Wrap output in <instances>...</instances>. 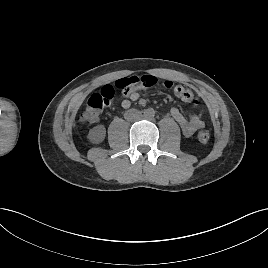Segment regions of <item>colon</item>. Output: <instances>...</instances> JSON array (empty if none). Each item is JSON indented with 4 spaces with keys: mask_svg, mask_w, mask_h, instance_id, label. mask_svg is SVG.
Listing matches in <instances>:
<instances>
[{
    "mask_svg": "<svg viewBox=\"0 0 268 268\" xmlns=\"http://www.w3.org/2000/svg\"><path fill=\"white\" fill-rule=\"evenodd\" d=\"M157 82L158 79L155 76L142 75L121 78L117 80L114 85H105L99 92L94 93L89 97L87 104L80 115L81 120L87 123H94L98 121L104 108L109 106L111 101L114 99L116 89L120 90L124 94H128L134 90L152 88L157 84ZM164 87L185 102L191 104L198 103L192 90L188 87L174 84L169 80L164 81ZM197 138L201 144H205L210 139V133L207 130L201 131Z\"/></svg>",
    "mask_w": 268,
    "mask_h": 268,
    "instance_id": "1",
    "label": "colon"
}]
</instances>
